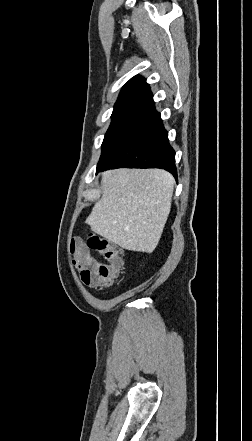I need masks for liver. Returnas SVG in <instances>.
Segmentation results:
<instances>
[{"label": "liver", "mask_w": 252, "mask_h": 441, "mask_svg": "<svg viewBox=\"0 0 252 441\" xmlns=\"http://www.w3.org/2000/svg\"><path fill=\"white\" fill-rule=\"evenodd\" d=\"M102 196L86 223L121 248L151 253L170 213L174 177L162 169H116L102 174Z\"/></svg>", "instance_id": "obj_1"}]
</instances>
